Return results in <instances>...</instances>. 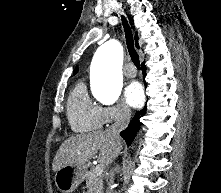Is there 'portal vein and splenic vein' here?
<instances>
[{
	"label": "portal vein and splenic vein",
	"mask_w": 221,
	"mask_h": 193,
	"mask_svg": "<svg viewBox=\"0 0 221 193\" xmlns=\"http://www.w3.org/2000/svg\"><path fill=\"white\" fill-rule=\"evenodd\" d=\"M103 170H104V165L103 164H99L95 168V171H96L97 174H102Z\"/></svg>",
	"instance_id": "1"
}]
</instances>
